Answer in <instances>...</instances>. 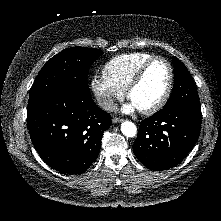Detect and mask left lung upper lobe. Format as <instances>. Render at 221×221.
Returning a JSON list of instances; mask_svg holds the SVG:
<instances>
[{
  "mask_svg": "<svg viewBox=\"0 0 221 221\" xmlns=\"http://www.w3.org/2000/svg\"><path fill=\"white\" fill-rule=\"evenodd\" d=\"M175 80L172 94L163 108L175 105L201 107L193 79L186 66L176 57L172 58Z\"/></svg>",
  "mask_w": 221,
  "mask_h": 221,
  "instance_id": "obj_1",
  "label": "left lung upper lobe"
}]
</instances>
